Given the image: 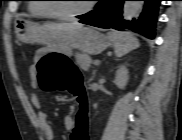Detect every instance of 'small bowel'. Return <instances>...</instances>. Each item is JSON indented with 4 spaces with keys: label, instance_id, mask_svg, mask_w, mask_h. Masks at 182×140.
Segmentation results:
<instances>
[{
    "label": "small bowel",
    "instance_id": "1",
    "mask_svg": "<svg viewBox=\"0 0 182 140\" xmlns=\"http://www.w3.org/2000/svg\"><path fill=\"white\" fill-rule=\"evenodd\" d=\"M43 58V54L40 51H37L34 55V62L29 68L30 74H34L36 72V66L37 63ZM31 102L34 105L35 108L40 109L41 108V100L36 94L31 95ZM37 119L39 126L43 132V135L46 140H52L54 137V131L51 124V121L44 111H39L37 114ZM64 125L67 130H70L73 128V118L71 116H68L64 120Z\"/></svg>",
    "mask_w": 182,
    "mask_h": 140
}]
</instances>
